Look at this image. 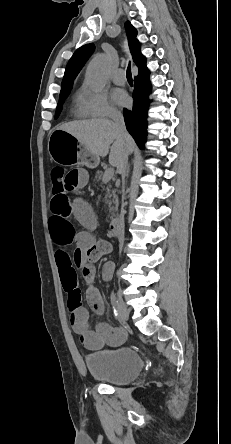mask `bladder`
<instances>
[{
	"label": "bladder",
	"mask_w": 231,
	"mask_h": 444,
	"mask_svg": "<svg viewBox=\"0 0 231 444\" xmlns=\"http://www.w3.org/2000/svg\"><path fill=\"white\" fill-rule=\"evenodd\" d=\"M85 365L96 379L113 385H125L140 374V355L129 348H116L87 355Z\"/></svg>",
	"instance_id": "bladder-1"
}]
</instances>
